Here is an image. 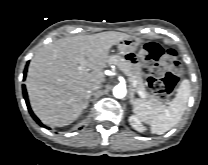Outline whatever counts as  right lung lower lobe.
Here are the masks:
<instances>
[{"label": "right lung lower lobe", "instance_id": "right-lung-lower-lobe-1", "mask_svg": "<svg viewBox=\"0 0 208 165\" xmlns=\"http://www.w3.org/2000/svg\"><path fill=\"white\" fill-rule=\"evenodd\" d=\"M26 72H27V65H26V68L24 70V78L26 77ZM23 96H24V99L26 101V105H27V108L29 110V113L31 114V116L33 117V119L40 125V126H44L40 120L34 115L33 111L31 110L30 108V105H29V101H28V96H27V92H26V89H25V86L23 85ZM49 129V127H47Z\"/></svg>", "mask_w": 208, "mask_h": 165}]
</instances>
